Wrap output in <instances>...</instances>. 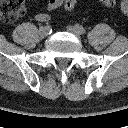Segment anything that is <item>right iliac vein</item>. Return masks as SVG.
Returning <instances> with one entry per match:
<instances>
[{
    "instance_id": "obj_1",
    "label": "right iliac vein",
    "mask_w": 128,
    "mask_h": 128,
    "mask_svg": "<svg viewBox=\"0 0 128 128\" xmlns=\"http://www.w3.org/2000/svg\"><path fill=\"white\" fill-rule=\"evenodd\" d=\"M50 30L47 27H42L40 29V33L43 37H47L49 35Z\"/></svg>"
}]
</instances>
